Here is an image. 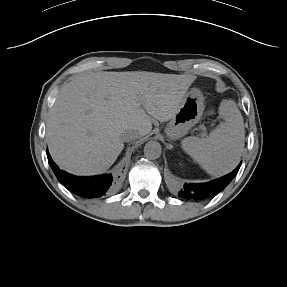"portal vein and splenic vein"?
I'll list each match as a JSON object with an SVG mask.
<instances>
[{
    "label": "portal vein and splenic vein",
    "mask_w": 287,
    "mask_h": 287,
    "mask_svg": "<svg viewBox=\"0 0 287 287\" xmlns=\"http://www.w3.org/2000/svg\"><path fill=\"white\" fill-rule=\"evenodd\" d=\"M201 128L204 129L205 127L202 125Z\"/></svg>",
    "instance_id": "obj_1"
}]
</instances>
